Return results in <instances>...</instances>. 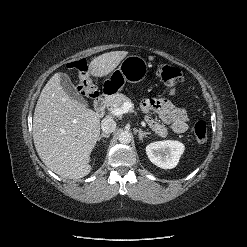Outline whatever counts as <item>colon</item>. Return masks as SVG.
Returning a JSON list of instances; mask_svg holds the SVG:
<instances>
[{
  "label": "colon",
  "instance_id": "colon-1",
  "mask_svg": "<svg viewBox=\"0 0 247 247\" xmlns=\"http://www.w3.org/2000/svg\"><path fill=\"white\" fill-rule=\"evenodd\" d=\"M69 68L77 71L80 76L79 89L83 96L94 98L97 94L88 75V62L80 59L69 63ZM157 77L169 88L170 93H174L176 87L183 81L181 71L171 65L161 64L157 67ZM193 135L198 143H204L208 137V127L205 121H197L193 127Z\"/></svg>",
  "mask_w": 247,
  "mask_h": 247
}]
</instances>
